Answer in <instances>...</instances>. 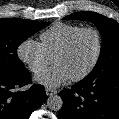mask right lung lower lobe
Segmentation results:
<instances>
[{
  "mask_svg": "<svg viewBox=\"0 0 119 119\" xmlns=\"http://www.w3.org/2000/svg\"><path fill=\"white\" fill-rule=\"evenodd\" d=\"M30 80L31 75L26 68L20 73L0 74V119H29L31 113L42 105L46 99L42 85L35 84L27 91H16Z\"/></svg>",
  "mask_w": 119,
  "mask_h": 119,
  "instance_id": "right-lung-lower-lobe-1",
  "label": "right lung lower lobe"
}]
</instances>
